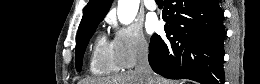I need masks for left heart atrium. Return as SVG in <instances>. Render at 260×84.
<instances>
[{
	"instance_id": "1",
	"label": "left heart atrium",
	"mask_w": 260,
	"mask_h": 84,
	"mask_svg": "<svg viewBox=\"0 0 260 84\" xmlns=\"http://www.w3.org/2000/svg\"><path fill=\"white\" fill-rule=\"evenodd\" d=\"M146 26L149 32L155 31L158 27L157 19L154 16H150L147 20Z\"/></svg>"
}]
</instances>
